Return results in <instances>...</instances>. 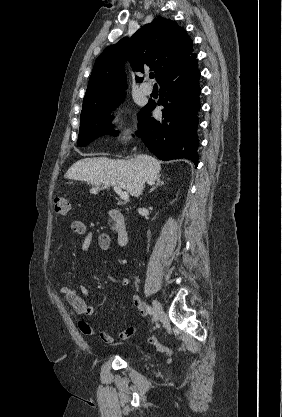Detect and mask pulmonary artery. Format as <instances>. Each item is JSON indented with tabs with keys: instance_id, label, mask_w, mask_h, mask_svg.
Instances as JSON below:
<instances>
[{
	"instance_id": "pulmonary-artery-1",
	"label": "pulmonary artery",
	"mask_w": 282,
	"mask_h": 417,
	"mask_svg": "<svg viewBox=\"0 0 282 417\" xmlns=\"http://www.w3.org/2000/svg\"><path fill=\"white\" fill-rule=\"evenodd\" d=\"M140 91L144 95H149L152 92V87L147 85H141Z\"/></svg>"
}]
</instances>
